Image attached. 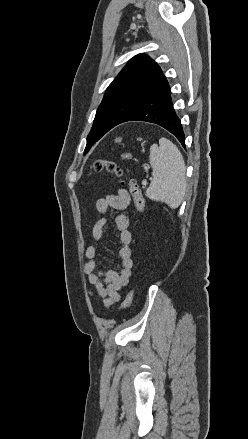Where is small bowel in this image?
I'll use <instances>...</instances> for the list:
<instances>
[{
    "label": "small bowel",
    "instance_id": "small-bowel-1",
    "mask_svg": "<svg viewBox=\"0 0 248 439\" xmlns=\"http://www.w3.org/2000/svg\"><path fill=\"white\" fill-rule=\"evenodd\" d=\"M130 204V195L125 189H120L116 194H108L96 201V210L108 215L112 210L119 213L114 217V224L119 232V240L123 245L118 255L121 260L120 271H100L98 270L97 248L89 246L85 251L88 261L84 265V272L87 282L95 288L90 294L103 300L104 306L110 308L120 300V291L127 286L132 274L133 260L129 244L132 241V234L129 230V219L125 210ZM108 223L107 218L98 220L92 228V237L95 241L102 240L104 230Z\"/></svg>",
    "mask_w": 248,
    "mask_h": 439
}]
</instances>
